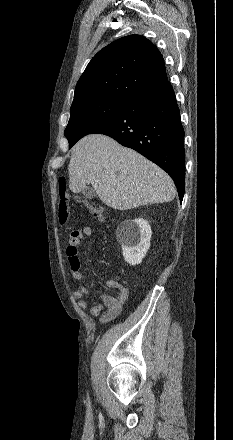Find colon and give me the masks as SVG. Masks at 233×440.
Here are the masks:
<instances>
[{"mask_svg":"<svg viewBox=\"0 0 233 440\" xmlns=\"http://www.w3.org/2000/svg\"><path fill=\"white\" fill-rule=\"evenodd\" d=\"M58 218L61 225H65L68 222L69 217V204H68V190L67 180L62 177L58 182ZM82 205L92 214V216L99 220L104 221L106 219L105 210L99 206L88 203L86 201L81 202Z\"/></svg>","mask_w":233,"mask_h":440,"instance_id":"5ec220e1","label":"colon"}]
</instances>
